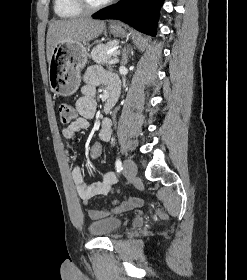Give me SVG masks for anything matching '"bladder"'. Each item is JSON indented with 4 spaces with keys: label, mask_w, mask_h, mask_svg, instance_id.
Masks as SVG:
<instances>
[{
    "label": "bladder",
    "mask_w": 247,
    "mask_h": 280,
    "mask_svg": "<svg viewBox=\"0 0 247 280\" xmlns=\"http://www.w3.org/2000/svg\"><path fill=\"white\" fill-rule=\"evenodd\" d=\"M122 225V221L118 218H104L92 222L89 225V232L97 237H112L120 231Z\"/></svg>",
    "instance_id": "obj_1"
}]
</instances>
